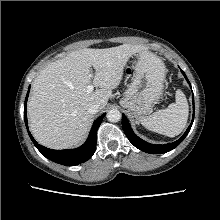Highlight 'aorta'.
Wrapping results in <instances>:
<instances>
[{"mask_svg": "<svg viewBox=\"0 0 220 220\" xmlns=\"http://www.w3.org/2000/svg\"><path fill=\"white\" fill-rule=\"evenodd\" d=\"M107 119L110 122H118L121 119V113L117 109H112L107 113Z\"/></svg>", "mask_w": 220, "mask_h": 220, "instance_id": "1", "label": "aorta"}]
</instances>
